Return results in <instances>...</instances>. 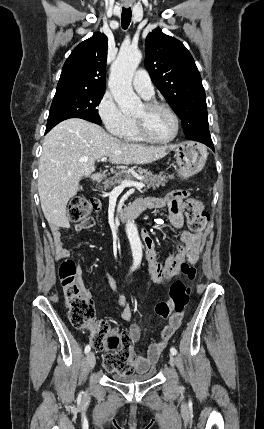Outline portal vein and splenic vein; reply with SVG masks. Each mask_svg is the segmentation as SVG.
Instances as JSON below:
<instances>
[{
  "label": "portal vein and splenic vein",
  "mask_w": 264,
  "mask_h": 429,
  "mask_svg": "<svg viewBox=\"0 0 264 429\" xmlns=\"http://www.w3.org/2000/svg\"><path fill=\"white\" fill-rule=\"evenodd\" d=\"M107 160V157H102L101 161L104 162ZM120 186L121 187H135L137 189H141L143 187H145V184L142 182H135V181H130V180H122L120 182Z\"/></svg>",
  "instance_id": "portal-vein-and-splenic-vein-1"
}]
</instances>
